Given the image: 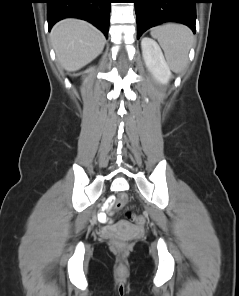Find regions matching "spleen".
Returning <instances> with one entry per match:
<instances>
[{
    "mask_svg": "<svg viewBox=\"0 0 239 296\" xmlns=\"http://www.w3.org/2000/svg\"><path fill=\"white\" fill-rule=\"evenodd\" d=\"M151 36L158 40L171 70L183 71L193 42L191 30L184 25L168 23L153 28Z\"/></svg>",
    "mask_w": 239,
    "mask_h": 296,
    "instance_id": "1",
    "label": "spleen"
}]
</instances>
